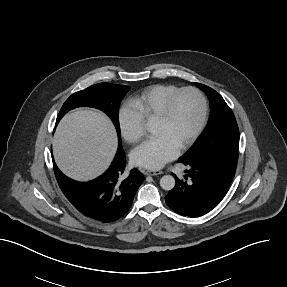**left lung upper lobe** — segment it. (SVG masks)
I'll use <instances>...</instances> for the list:
<instances>
[{
    "mask_svg": "<svg viewBox=\"0 0 287 287\" xmlns=\"http://www.w3.org/2000/svg\"><path fill=\"white\" fill-rule=\"evenodd\" d=\"M195 84L210 100V119L202 136L179 162L216 164L236 169L239 129L234 114L219 93L206 85Z\"/></svg>",
    "mask_w": 287,
    "mask_h": 287,
    "instance_id": "5c2ea615",
    "label": "left lung upper lobe"
}]
</instances>
